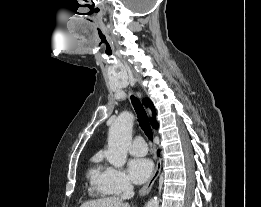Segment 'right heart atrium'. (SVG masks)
I'll return each instance as SVG.
<instances>
[{"label": "right heart atrium", "mask_w": 261, "mask_h": 207, "mask_svg": "<svg viewBox=\"0 0 261 207\" xmlns=\"http://www.w3.org/2000/svg\"><path fill=\"white\" fill-rule=\"evenodd\" d=\"M100 185L106 194H120L131 188L127 175L120 169L107 166L100 177Z\"/></svg>", "instance_id": "obj_1"}]
</instances>
